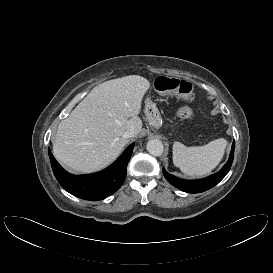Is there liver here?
Masks as SVG:
<instances>
[{"mask_svg":"<svg viewBox=\"0 0 273 273\" xmlns=\"http://www.w3.org/2000/svg\"><path fill=\"white\" fill-rule=\"evenodd\" d=\"M150 82L129 75L103 82L62 120L53 141L56 159L73 171L90 173L112 162L127 144L123 134L142 129V99Z\"/></svg>","mask_w":273,"mask_h":273,"instance_id":"liver-1","label":"liver"}]
</instances>
